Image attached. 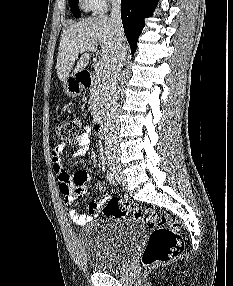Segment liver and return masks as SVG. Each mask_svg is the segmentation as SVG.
<instances>
[{
    "label": "liver",
    "instance_id": "6515ba94",
    "mask_svg": "<svg viewBox=\"0 0 233 286\" xmlns=\"http://www.w3.org/2000/svg\"><path fill=\"white\" fill-rule=\"evenodd\" d=\"M115 42V26L107 16L89 17L68 26L60 39L56 63L60 81H65L71 71L72 74L78 73L88 65L91 55L81 52V46L100 45L102 62L107 70L115 55ZM80 53L82 56L78 58ZM76 60L78 61L73 69Z\"/></svg>",
    "mask_w": 233,
    "mask_h": 286
}]
</instances>
